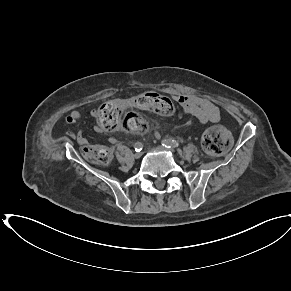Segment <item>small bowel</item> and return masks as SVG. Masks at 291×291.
Segmentation results:
<instances>
[{
  "instance_id": "small-bowel-1",
  "label": "small bowel",
  "mask_w": 291,
  "mask_h": 291,
  "mask_svg": "<svg viewBox=\"0 0 291 291\" xmlns=\"http://www.w3.org/2000/svg\"><path fill=\"white\" fill-rule=\"evenodd\" d=\"M176 101L183 108L184 112L195 117L200 123H216L221 119L219 108L209 99L189 94H180L176 96ZM91 114L97 115V111L92 110ZM82 117V113L77 110H71L62 120L63 124L72 125L78 122ZM98 130V129H97ZM68 136L71 139L77 141L79 145H86L88 143L87 138L82 131L77 133L68 132ZM111 143H116L115 138L110 139Z\"/></svg>"
}]
</instances>
